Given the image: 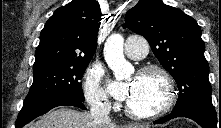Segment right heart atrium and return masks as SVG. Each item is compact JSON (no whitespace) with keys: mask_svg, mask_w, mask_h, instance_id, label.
<instances>
[{"mask_svg":"<svg viewBox=\"0 0 221 128\" xmlns=\"http://www.w3.org/2000/svg\"><path fill=\"white\" fill-rule=\"evenodd\" d=\"M105 71L100 66H90L86 70L84 77V93L87 102L92 107L108 106L107 97L101 87V81L104 77Z\"/></svg>","mask_w":221,"mask_h":128,"instance_id":"d8ad5b80","label":"right heart atrium"}]
</instances>
